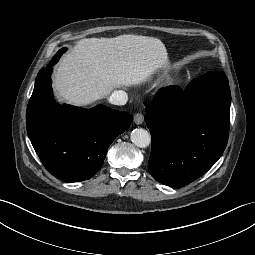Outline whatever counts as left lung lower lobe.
<instances>
[{"mask_svg":"<svg viewBox=\"0 0 255 255\" xmlns=\"http://www.w3.org/2000/svg\"><path fill=\"white\" fill-rule=\"evenodd\" d=\"M231 93L221 72H208L185 90L170 86L146 109L152 136L149 173L160 183L183 186L205 174L228 141Z\"/></svg>","mask_w":255,"mask_h":255,"instance_id":"obj_1","label":"left lung lower lobe"}]
</instances>
